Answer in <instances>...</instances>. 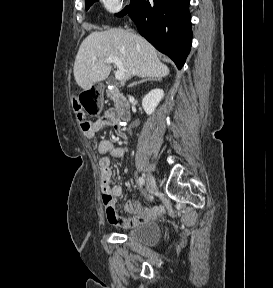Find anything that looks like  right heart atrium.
Segmentation results:
<instances>
[{
    "label": "right heart atrium",
    "mask_w": 273,
    "mask_h": 288,
    "mask_svg": "<svg viewBox=\"0 0 273 288\" xmlns=\"http://www.w3.org/2000/svg\"><path fill=\"white\" fill-rule=\"evenodd\" d=\"M101 2L108 13H117L122 9L125 0H101Z\"/></svg>",
    "instance_id": "d8ad5b80"
}]
</instances>
